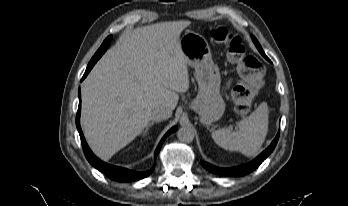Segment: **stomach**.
<instances>
[{
  "mask_svg": "<svg viewBox=\"0 0 348 206\" xmlns=\"http://www.w3.org/2000/svg\"><path fill=\"white\" fill-rule=\"evenodd\" d=\"M180 49L187 64L195 69L199 92L192 108L205 125L219 120L225 108L220 95V73L214 64L208 42L200 35L185 33L179 39Z\"/></svg>",
  "mask_w": 348,
  "mask_h": 206,
  "instance_id": "stomach-1",
  "label": "stomach"
}]
</instances>
